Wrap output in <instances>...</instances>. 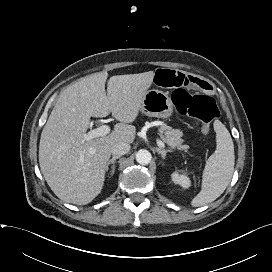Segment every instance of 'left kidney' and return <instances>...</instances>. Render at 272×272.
Instances as JSON below:
<instances>
[{"instance_id":"left-kidney-1","label":"left kidney","mask_w":272,"mask_h":272,"mask_svg":"<svg viewBox=\"0 0 272 272\" xmlns=\"http://www.w3.org/2000/svg\"><path fill=\"white\" fill-rule=\"evenodd\" d=\"M171 179L175 184H179L184 189L189 188L191 185L190 179L186 175L179 174L178 172L172 173Z\"/></svg>"}]
</instances>
